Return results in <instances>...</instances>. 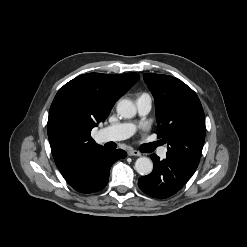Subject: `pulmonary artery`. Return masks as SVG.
<instances>
[{
	"instance_id": "e3ab8cb5",
	"label": "pulmonary artery",
	"mask_w": 247,
	"mask_h": 247,
	"mask_svg": "<svg viewBox=\"0 0 247 247\" xmlns=\"http://www.w3.org/2000/svg\"><path fill=\"white\" fill-rule=\"evenodd\" d=\"M136 107L138 114L142 117L146 116L151 108H152V101L148 95L139 96L136 99ZM135 131V125L132 123H120L116 125H112L103 129L100 134L99 138L103 142L109 141H120L130 137ZM167 153V148L163 147L159 150V155L164 157Z\"/></svg>"
}]
</instances>
